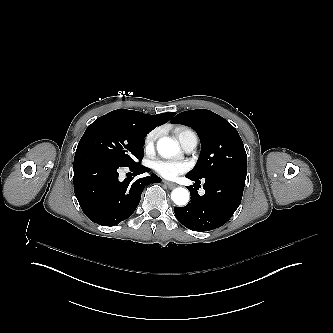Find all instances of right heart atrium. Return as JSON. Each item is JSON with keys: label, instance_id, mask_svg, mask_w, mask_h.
I'll use <instances>...</instances> for the list:
<instances>
[{"label": "right heart atrium", "instance_id": "1", "mask_svg": "<svg viewBox=\"0 0 333 333\" xmlns=\"http://www.w3.org/2000/svg\"><path fill=\"white\" fill-rule=\"evenodd\" d=\"M156 136L154 134H149L145 139V148L151 150L154 147Z\"/></svg>", "mask_w": 333, "mask_h": 333}]
</instances>
